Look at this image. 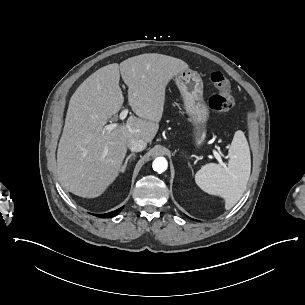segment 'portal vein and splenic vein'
Segmentation results:
<instances>
[{"instance_id": "portal-vein-and-splenic-vein-1", "label": "portal vein and splenic vein", "mask_w": 305, "mask_h": 305, "mask_svg": "<svg viewBox=\"0 0 305 305\" xmlns=\"http://www.w3.org/2000/svg\"><path fill=\"white\" fill-rule=\"evenodd\" d=\"M127 114H128V109H124L119 117L121 120H124L126 117H127ZM118 126L117 123H111V124H108L104 127V131L106 132H111L113 131L116 127ZM213 154L215 156V158L218 160V162L223 166V167H226V164L222 161L221 159V156L219 155V153L216 151V150H213Z\"/></svg>"}]
</instances>
